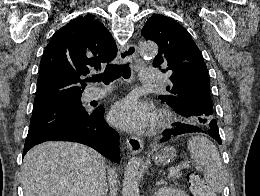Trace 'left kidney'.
I'll return each mask as SVG.
<instances>
[{
    "instance_id": "left-kidney-1",
    "label": "left kidney",
    "mask_w": 260,
    "mask_h": 196,
    "mask_svg": "<svg viewBox=\"0 0 260 196\" xmlns=\"http://www.w3.org/2000/svg\"><path fill=\"white\" fill-rule=\"evenodd\" d=\"M154 196H188L183 190L179 188H170V186H162L160 190L155 192Z\"/></svg>"
}]
</instances>
